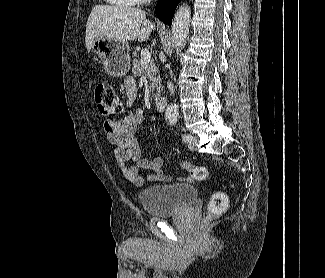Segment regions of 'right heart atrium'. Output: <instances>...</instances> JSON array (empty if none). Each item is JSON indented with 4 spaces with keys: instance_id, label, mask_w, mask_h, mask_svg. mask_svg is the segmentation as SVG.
Wrapping results in <instances>:
<instances>
[{
    "instance_id": "1",
    "label": "right heart atrium",
    "mask_w": 325,
    "mask_h": 278,
    "mask_svg": "<svg viewBox=\"0 0 325 278\" xmlns=\"http://www.w3.org/2000/svg\"><path fill=\"white\" fill-rule=\"evenodd\" d=\"M137 1H138L139 4H141V3H145V2H147L149 0H137Z\"/></svg>"
}]
</instances>
